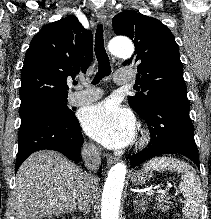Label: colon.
Here are the masks:
<instances>
[{
  "label": "colon",
  "mask_w": 211,
  "mask_h": 219,
  "mask_svg": "<svg viewBox=\"0 0 211 219\" xmlns=\"http://www.w3.org/2000/svg\"><path fill=\"white\" fill-rule=\"evenodd\" d=\"M43 219H64V217H62V216H53V217H45ZM174 219H184V218L181 217V216H178V217H175Z\"/></svg>",
  "instance_id": "5ec220e1"
}]
</instances>
